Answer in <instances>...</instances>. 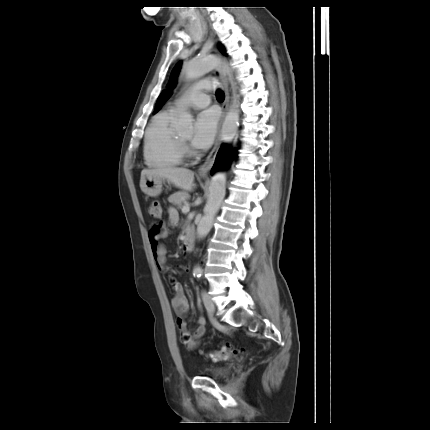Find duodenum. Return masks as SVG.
I'll use <instances>...</instances> for the list:
<instances>
[{"label": "duodenum", "mask_w": 430, "mask_h": 430, "mask_svg": "<svg viewBox=\"0 0 430 430\" xmlns=\"http://www.w3.org/2000/svg\"><path fill=\"white\" fill-rule=\"evenodd\" d=\"M194 240H193V235H192V233L191 232H187V234L185 235V238H184V245H183V248H184V251H186V252H190V251H192V249H193V246H194Z\"/></svg>", "instance_id": "duodenum-1"}]
</instances>
